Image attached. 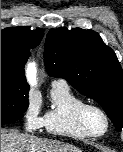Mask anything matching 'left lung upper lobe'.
<instances>
[{
    "mask_svg": "<svg viewBox=\"0 0 123 152\" xmlns=\"http://www.w3.org/2000/svg\"><path fill=\"white\" fill-rule=\"evenodd\" d=\"M44 62L48 74L66 79L98 102L118 131L123 126V70L116 54L93 30L51 29Z\"/></svg>",
    "mask_w": 123,
    "mask_h": 152,
    "instance_id": "obj_1",
    "label": "left lung upper lobe"
}]
</instances>
